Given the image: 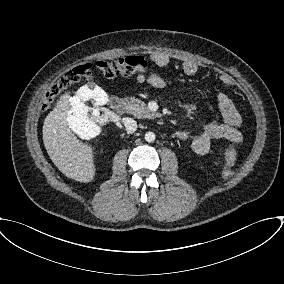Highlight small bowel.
I'll return each instance as SVG.
<instances>
[{
  "label": "small bowel",
  "mask_w": 284,
  "mask_h": 284,
  "mask_svg": "<svg viewBox=\"0 0 284 284\" xmlns=\"http://www.w3.org/2000/svg\"><path fill=\"white\" fill-rule=\"evenodd\" d=\"M150 60L156 67H165L171 63V57L161 51H155L150 55ZM182 69L185 74L194 76L199 73L200 65L193 60H185L182 62ZM220 81L228 87L233 85L230 77L226 75L220 76ZM137 82H147L153 87L162 88L165 86V81L160 76L157 70L146 73L142 70L137 75ZM220 113L224 122L219 123L213 119L209 121L203 131L197 135L192 136L186 131L178 132L177 136L180 140L191 141V151L197 155H207L213 148V141L225 139L229 142H235L237 145L242 143V135L240 132L241 116L234 105L233 101L224 93L219 92L216 96Z\"/></svg>",
  "instance_id": "c3829d8e"
}]
</instances>
